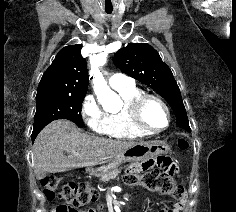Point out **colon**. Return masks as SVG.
<instances>
[{
    "instance_id": "colon-1",
    "label": "colon",
    "mask_w": 236,
    "mask_h": 212,
    "mask_svg": "<svg viewBox=\"0 0 236 212\" xmlns=\"http://www.w3.org/2000/svg\"><path fill=\"white\" fill-rule=\"evenodd\" d=\"M181 150H187L189 142L181 138L178 142ZM175 168L167 157L156 161L144 162L139 167H130L125 174V182L130 186L141 184L147 190L167 195L173 201H179L184 195L183 186L174 176ZM62 179L55 175H48L41 181L44 196L53 199ZM63 204L58 205L53 212H79L78 209L96 201L98 192L87 182L68 181L62 185L58 194ZM95 212V211H94ZM164 212V210L160 211Z\"/></svg>"
}]
</instances>
